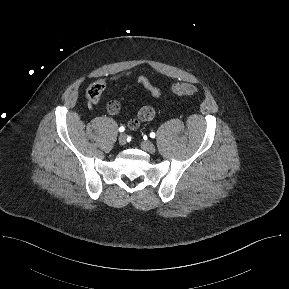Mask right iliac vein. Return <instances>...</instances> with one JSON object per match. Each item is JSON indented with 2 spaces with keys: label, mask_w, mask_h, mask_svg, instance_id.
<instances>
[{
  "label": "right iliac vein",
  "mask_w": 289,
  "mask_h": 289,
  "mask_svg": "<svg viewBox=\"0 0 289 289\" xmlns=\"http://www.w3.org/2000/svg\"><path fill=\"white\" fill-rule=\"evenodd\" d=\"M118 142L120 145H125L127 142V136L126 134L122 133L120 134L119 138H118Z\"/></svg>",
  "instance_id": "1"
}]
</instances>
